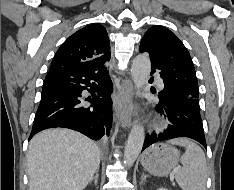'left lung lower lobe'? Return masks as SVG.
I'll use <instances>...</instances> for the list:
<instances>
[{"mask_svg":"<svg viewBox=\"0 0 234 190\" xmlns=\"http://www.w3.org/2000/svg\"><path fill=\"white\" fill-rule=\"evenodd\" d=\"M158 70L164 80L165 88L158 94L161 103L157 105L156 111L161 113L165 111L172 124L168 126L164 133L158 136L154 132L150 136L147 135L142 150L155 142L177 137L192 138L207 149L200 110L190 105L186 99L169 90L166 87L160 65L151 61V74ZM152 92L154 93V91Z\"/></svg>","mask_w":234,"mask_h":190,"instance_id":"left-lung-lower-lobe-1","label":"left lung lower lobe"}]
</instances>
